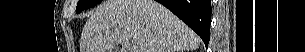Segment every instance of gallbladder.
<instances>
[{
  "label": "gallbladder",
  "instance_id": "bac80fb5",
  "mask_svg": "<svg viewBox=\"0 0 305 52\" xmlns=\"http://www.w3.org/2000/svg\"><path fill=\"white\" fill-rule=\"evenodd\" d=\"M110 51H111V52H113V51H114V48H113V49H111Z\"/></svg>",
  "mask_w": 305,
  "mask_h": 52
}]
</instances>
